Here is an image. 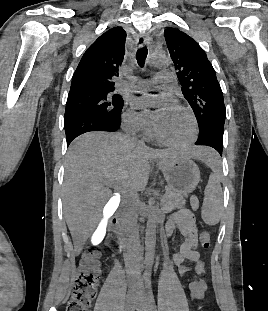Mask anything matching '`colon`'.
<instances>
[{"label": "colon", "instance_id": "5ec220e1", "mask_svg": "<svg viewBox=\"0 0 268 311\" xmlns=\"http://www.w3.org/2000/svg\"><path fill=\"white\" fill-rule=\"evenodd\" d=\"M199 241L204 248L209 247L210 233L202 231L199 234ZM100 257L101 250L97 247L85 248L66 311L90 310L101 275Z\"/></svg>", "mask_w": 268, "mask_h": 311}]
</instances>
